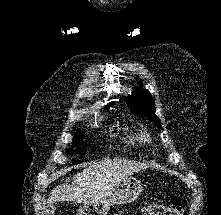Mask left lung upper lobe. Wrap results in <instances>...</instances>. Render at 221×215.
I'll return each mask as SVG.
<instances>
[{"instance_id": "left-lung-upper-lobe-1", "label": "left lung upper lobe", "mask_w": 221, "mask_h": 215, "mask_svg": "<svg viewBox=\"0 0 221 215\" xmlns=\"http://www.w3.org/2000/svg\"><path fill=\"white\" fill-rule=\"evenodd\" d=\"M126 100L135 114L140 117H146L149 121H153L160 130V121L155 115L154 101L149 91L138 89Z\"/></svg>"}]
</instances>
